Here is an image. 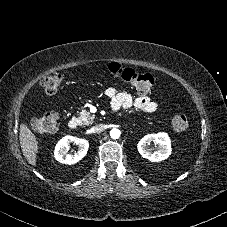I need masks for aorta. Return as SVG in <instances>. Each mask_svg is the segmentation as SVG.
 <instances>
[{"label":"aorta","mask_w":227,"mask_h":227,"mask_svg":"<svg viewBox=\"0 0 227 227\" xmlns=\"http://www.w3.org/2000/svg\"><path fill=\"white\" fill-rule=\"evenodd\" d=\"M120 134H121V132H120V130H118V129H112V130L110 131V137H111L112 139H118V138L120 137Z\"/></svg>","instance_id":"762f6f07"}]
</instances>
